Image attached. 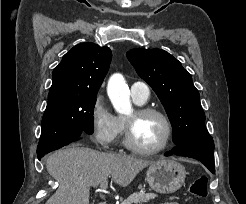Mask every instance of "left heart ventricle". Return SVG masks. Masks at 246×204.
I'll return each mask as SVG.
<instances>
[{"label":"left heart ventricle","instance_id":"obj_1","mask_svg":"<svg viewBox=\"0 0 246 204\" xmlns=\"http://www.w3.org/2000/svg\"><path fill=\"white\" fill-rule=\"evenodd\" d=\"M134 122V140L144 148L158 147L166 135V126L157 115L138 117L133 111L127 116Z\"/></svg>","mask_w":246,"mask_h":204}]
</instances>
